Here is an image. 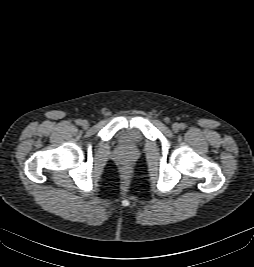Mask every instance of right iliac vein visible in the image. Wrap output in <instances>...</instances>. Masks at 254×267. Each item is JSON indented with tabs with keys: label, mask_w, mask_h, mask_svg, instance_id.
Here are the masks:
<instances>
[{
	"label": "right iliac vein",
	"mask_w": 254,
	"mask_h": 267,
	"mask_svg": "<svg viewBox=\"0 0 254 267\" xmlns=\"http://www.w3.org/2000/svg\"><path fill=\"white\" fill-rule=\"evenodd\" d=\"M81 125H82L83 128H88L89 127V122L87 120H83Z\"/></svg>",
	"instance_id": "1"
}]
</instances>
